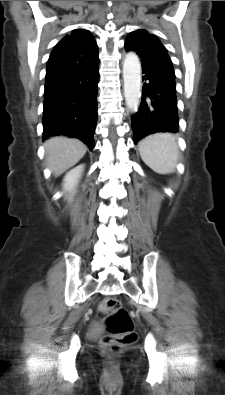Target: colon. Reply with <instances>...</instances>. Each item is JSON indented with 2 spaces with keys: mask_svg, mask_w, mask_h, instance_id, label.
I'll list each match as a JSON object with an SVG mask.
<instances>
[{
  "mask_svg": "<svg viewBox=\"0 0 225 395\" xmlns=\"http://www.w3.org/2000/svg\"><path fill=\"white\" fill-rule=\"evenodd\" d=\"M102 312L105 313L106 333L101 338L100 345L106 353L119 354L124 347L136 342L137 334L134 330L133 319L116 299H105Z\"/></svg>",
  "mask_w": 225,
  "mask_h": 395,
  "instance_id": "5ec220e1",
  "label": "colon"
}]
</instances>
